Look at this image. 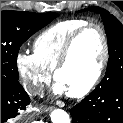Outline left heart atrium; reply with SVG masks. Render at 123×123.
<instances>
[{
	"label": "left heart atrium",
	"instance_id": "obj_1",
	"mask_svg": "<svg viewBox=\"0 0 123 123\" xmlns=\"http://www.w3.org/2000/svg\"><path fill=\"white\" fill-rule=\"evenodd\" d=\"M54 93L62 95L66 93V90L63 88V86L57 82L56 85L54 86Z\"/></svg>",
	"mask_w": 123,
	"mask_h": 123
}]
</instances>
